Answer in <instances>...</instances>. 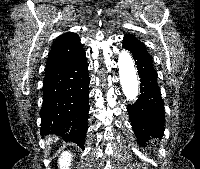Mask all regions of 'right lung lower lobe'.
<instances>
[{
	"label": "right lung lower lobe",
	"instance_id": "obj_1",
	"mask_svg": "<svg viewBox=\"0 0 200 169\" xmlns=\"http://www.w3.org/2000/svg\"><path fill=\"white\" fill-rule=\"evenodd\" d=\"M89 82L85 51L68 64L45 70L41 135L56 134L65 141L84 144Z\"/></svg>",
	"mask_w": 200,
	"mask_h": 169
}]
</instances>
